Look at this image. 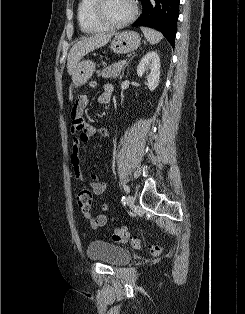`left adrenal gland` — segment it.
<instances>
[{
    "label": "left adrenal gland",
    "mask_w": 245,
    "mask_h": 314,
    "mask_svg": "<svg viewBox=\"0 0 245 314\" xmlns=\"http://www.w3.org/2000/svg\"><path fill=\"white\" fill-rule=\"evenodd\" d=\"M135 55H136V54H134V55L132 56V58H133ZM132 58H131V59H132ZM131 59H130V60H131ZM130 60H129V61H130ZM129 61L126 63L125 68L128 66ZM123 76H124V71H123L122 76H121L120 78L122 79Z\"/></svg>",
    "instance_id": "a2214340"
}]
</instances>
